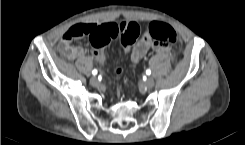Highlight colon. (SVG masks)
<instances>
[{
    "mask_svg": "<svg viewBox=\"0 0 245 145\" xmlns=\"http://www.w3.org/2000/svg\"><path fill=\"white\" fill-rule=\"evenodd\" d=\"M140 31L139 25L135 22H121L117 27L113 26L110 28V40L118 38L122 51L127 52L136 41ZM96 34L97 31L89 24H75L70 27L64 39L71 41L73 39L89 38L93 41ZM143 34L150 37L156 43L166 46L173 45L177 41L176 31L171 26L158 21H153L148 24L143 29ZM121 71L119 70V72Z\"/></svg>",
    "mask_w": 245,
    "mask_h": 145,
    "instance_id": "1",
    "label": "colon"
}]
</instances>
